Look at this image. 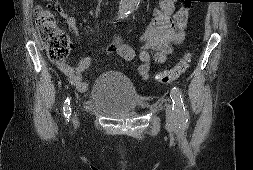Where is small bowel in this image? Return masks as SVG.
<instances>
[{
	"label": "small bowel",
	"mask_w": 253,
	"mask_h": 170,
	"mask_svg": "<svg viewBox=\"0 0 253 170\" xmlns=\"http://www.w3.org/2000/svg\"><path fill=\"white\" fill-rule=\"evenodd\" d=\"M177 0H160L159 7L154 10L153 18L149 22L144 35L141 38V45L138 49L115 41L104 47L105 52H116L123 59L135 62L139 61L137 71L142 79L150 77V65L154 61L158 64H166L168 57L173 53V46L179 45L184 39V27L186 23L178 21L176 15L174 22L172 15L174 4ZM56 9L62 19L75 36H80L81 31L77 27V20L70 15L60 3H56ZM90 56L83 57L77 65L73 66L65 61L56 63L57 68L64 73L70 83L80 92L87 91L89 84L84 80L83 75L91 65Z\"/></svg>",
	"instance_id": "small-bowel-1"
}]
</instances>
